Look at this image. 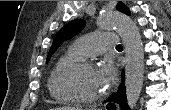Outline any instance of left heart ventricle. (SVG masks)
I'll use <instances>...</instances> for the list:
<instances>
[{
  "instance_id": "obj_1",
  "label": "left heart ventricle",
  "mask_w": 171,
  "mask_h": 110,
  "mask_svg": "<svg viewBox=\"0 0 171 110\" xmlns=\"http://www.w3.org/2000/svg\"><path fill=\"white\" fill-rule=\"evenodd\" d=\"M72 85L86 97L99 96L106 90L95 69H82L75 73L72 77Z\"/></svg>"
}]
</instances>
